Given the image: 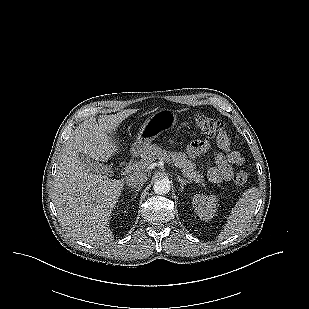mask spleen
Returning <instances> with one entry per match:
<instances>
[{"instance_id":"obj_1","label":"spleen","mask_w":309,"mask_h":309,"mask_svg":"<svg viewBox=\"0 0 309 309\" xmlns=\"http://www.w3.org/2000/svg\"><path fill=\"white\" fill-rule=\"evenodd\" d=\"M259 196V190L255 187H251L243 193L227 218V222L218 236L219 240L227 239L239 233L248 225L259 200Z\"/></svg>"}]
</instances>
